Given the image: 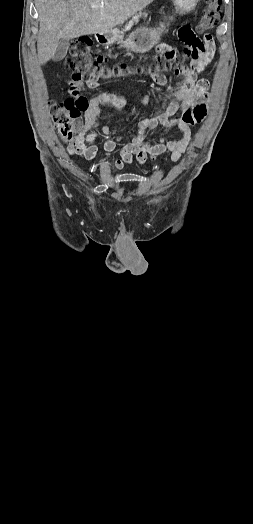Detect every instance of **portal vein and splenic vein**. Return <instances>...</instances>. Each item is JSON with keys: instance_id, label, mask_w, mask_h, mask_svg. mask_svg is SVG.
Here are the masks:
<instances>
[{"instance_id": "18ae733b", "label": "portal vein and splenic vein", "mask_w": 253, "mask_h": 524, "mask_svg": "<svg viewBox=\"0 0 253 524\" xmlns=\"http://www.w3.org/2000/svg\"><path fill=\"white\" fill-rule=\"evenodd\" d=\"M91 8H93V9L98 8V5H96V4H92V5H91Z\"/></svg>"}]
</instances>
